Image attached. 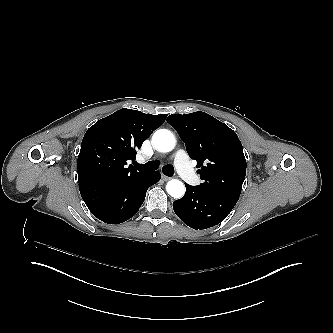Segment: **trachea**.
I'll return each instance as SVG.
<instances>
[{"label": "trachea", "mask_w": 333, "mask_h": 333, "mask_svg": "<svg viewBox=\"0 0 333 333\" xmlns=\"http://www.w3.org/2000/svg\"><path fill=\"white\" fill-rule=\"evenodd\" d=\"M134 167L136 169L143 170V171H155L159 168V161H149L146 164H138L135 162ZM162 172L166 176L170 177L174 174V168L172 165L168 164L162 168Z\"/></svg>", "instance_id": "3493384b"}]
</instances>
